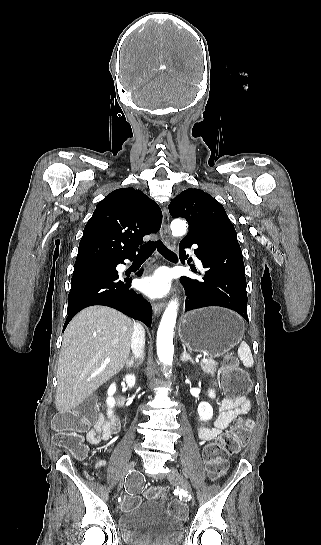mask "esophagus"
<instances>
[{
  "label": "esophagus",
  "instance_id": "obj_1",
  "mask_svg": "<svg viewBox=\"0 0 321 545\" xmlns=\"http://www.w3.org/2000/svg\"><path fill=\"white\" fill-rule=\"evenodd\" d=\"M168 219H169L168 210L166 209V207H164L163 222H162L161 229H160V235H161L162 240L165 243H167L169 245H173L174 239H173V236H172L171 231L169 229ZM164 307H165L164 302H159L157 304H154V306H153L154 313L156 315L159 314L160 312H162Z\"/></svg>",
  "mask_w": 321,
  "mask_h": 545
}]
</instances>
